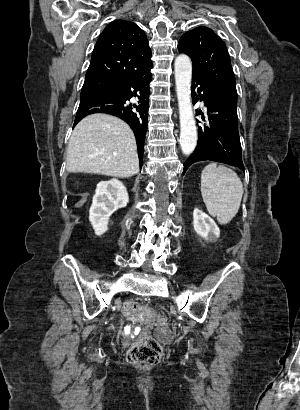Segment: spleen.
Here are the masks:
<instances>
[{
  "mask_svg": "<svg viewBox=\"0 0 300 410\" xmlns=\"http://www.w3.org/2000/svg\"><path fill=\"white\" fill-rule=\"evenodd\" d=\"M201 194L209 214L227 224L239 210L243 184L230 168L210 163L201 174Z\"/></svg>",
  "mask_w": 300,
  "mask_h": 410,
  "instance_id": "1",
  "label": "spleen"
}]
</instances>
